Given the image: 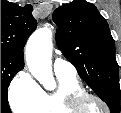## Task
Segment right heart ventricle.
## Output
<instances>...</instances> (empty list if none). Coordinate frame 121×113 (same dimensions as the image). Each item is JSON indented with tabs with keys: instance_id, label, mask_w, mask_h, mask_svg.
<instances>
[{
	"instance_id": "right-heart-ventricle-1",
	"label": "right heart ventricle",
	"mask_w": 121,
	"mask_h": 113,
	"mask_svg": "<svg viewBox=\"0 0 121 113\" xmlns=\"http://www.w3.org/2000/svg\"><path fill=\"white\" fill-rule=\"evenodd\" d=\"M58 86L55 90L40 89L37 100L29 106H21L18 113H59L58 110L73 109L78 93L84 92L75 75L56 74Z\"/></svg>"
}]
</instances>
